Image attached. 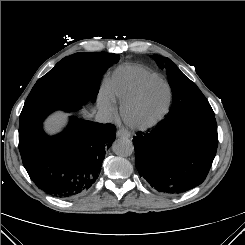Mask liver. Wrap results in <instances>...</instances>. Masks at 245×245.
Instances as JSON below:
<instances>
[{"mask_svg": "<svg viewBox=\"0 0 245 245\" xmlns=\"http://www.w3.org/2000/svg\"><path fill=\"white\" fill-rule=\"evenodd\" d=\"M91 115V114H90ZM66 114L62 112H56L51 115L45 122L46 128L51 132H57L66 122Z\"/></svg>", "mask_w": 245, "mask_h": 245, "instance_id": "1", "label": "liver"}]
</instances>
